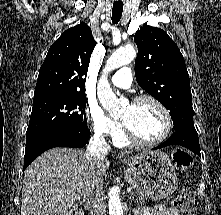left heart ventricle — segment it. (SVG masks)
Returning <instances> with one entry per match:
<instances>
[{
	"mask_svg": "<svg viewBox=\"0 0 221 215\" xmlns=\"http://www.w3.org/2000/svg\"><path fill=\"white\" fill-rule=\"evenodd\" d=\"M120 118L136 136L144 140H155L164 130L163 115L150 101L126 105Z\"/></svg>",
	"mask_w": 221,
	"mask_h": 215,
	"instance_id": "left-heart-ventricle-1",
	"label": "left heart ventricle"
}]
</instances>
